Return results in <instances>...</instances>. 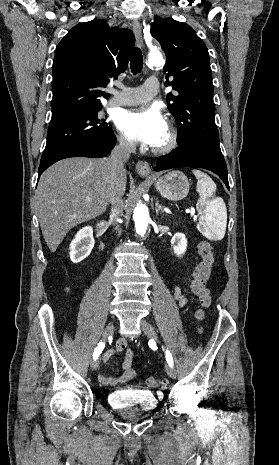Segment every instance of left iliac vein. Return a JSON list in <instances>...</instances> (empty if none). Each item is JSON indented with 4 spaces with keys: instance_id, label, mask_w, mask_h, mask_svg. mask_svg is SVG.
<instances>
[{
    "instance_id": "obj_1",
    "label": "left iliac vein",
    "mask_w": 279,
    "mask_h": 465,
    "mask_svg": "<svg viewBox=\"0 0 279 465\" xmlns=\"http://www.w3.org/2000/svg\"><path fill=\"white\" fill-rule=\"evenodd\" d=\"M140 326H141L142 331L144 332V334H145L147 337H149V338H151V339H153V340H155V341L158 342L157 333H156L154 327H153L148 321H146V320H144V319L141 320V321H140ZM166 371H167L168 375H169L171 378H173V379L176 378V371H175V369H174L173 366H170V365L168 364V365L166 366Z\"/></svg>"
}]
</instances>
